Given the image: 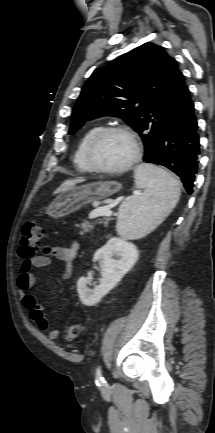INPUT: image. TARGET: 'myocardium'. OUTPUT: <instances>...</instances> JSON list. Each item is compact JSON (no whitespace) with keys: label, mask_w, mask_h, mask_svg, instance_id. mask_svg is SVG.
Instances as JSON below:
<instances>
[{"label":"myocardium","mask_w":215,"mask_h":433,"mask_svg":"<svg viewBox=\"0 0 215 433\" xmlns=\"http://www.w3.org/2000/svg\"><path fill=\"white\" fill-rule=\"evenodd\" d=\"M109 133H121L125 135L132 143L133 145V154L129 161L124 164L121 167L117 168H104L98 166L94 159H93V149L96 145V143L105 135ZM141 143L137 137V135L129 128L125 126H107L101 128L99 131H97L92 138L89 140L86 151H85V157L87 160V163L91 167V169L95 172L99 173H105V174H123L125 172H128L131 170L140 160L141 158Z\"/></svg>","instance_id":"obj_1"}]
</instances>
